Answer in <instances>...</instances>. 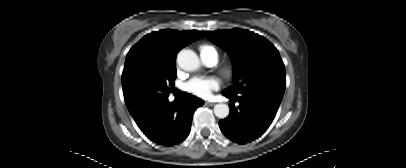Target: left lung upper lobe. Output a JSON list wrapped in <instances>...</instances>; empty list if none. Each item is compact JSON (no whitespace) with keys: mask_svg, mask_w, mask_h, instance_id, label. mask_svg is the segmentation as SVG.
Listing matches in <instances>:
<instances>
[{"mask_svg":"<svg viewBox=\"0 0 406 168\" xmlns=\"http://www.w3.org/2000/svg\"><path fill=\"white\" fill-rule=\"evenodd\" d=\"M203 33L210 41L226 50L233 59L234 84L223 93L284 94L285 66L278 50L266 38L243 29Z\"/></svg>","mask_w":406,"mask_h":168,"instance_id":"left-lung-upper-lobe-1","label":"left lung upper lobe"}]
</instances>
